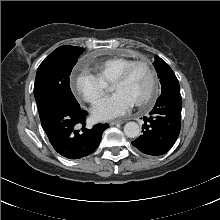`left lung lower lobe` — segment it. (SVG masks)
<instances>
[{
    "label": "left lung lower lobe",
    "mask_w": 220,
    "mask_h": 220,
    "mask_svg": "<svg viewBox=\"0 0 220 220\" xmlns=\"http://www.w3.org/2000/svg\"><path fill=\"white\" fill-rule=\"evenodd\" d=\"M182 99L180 90L164 92L144 117L143 134L132 142L141 152L158 156L166 153L178 138L181 127Z\"/></svg>",
    "instance_id": "1"
}]
</instances>
